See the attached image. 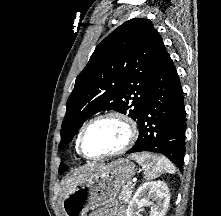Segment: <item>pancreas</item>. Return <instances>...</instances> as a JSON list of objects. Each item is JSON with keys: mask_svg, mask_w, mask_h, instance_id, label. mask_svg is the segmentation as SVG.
I'll return each mask as SVG.
<instances>
[{"mask_svg": "<svg viewBox=\"0 0 221 216\" xmlns=\"http://www.w3.org/2000/svg\"><path fill=\"white\" fill-rule=\"evenodd\" d=\"M133 188L134 186L129 183L125 187H123L120 195L118 196L119 200L123 201L124 203L130 202L133 193Z\"/></svg>", "mask_w": 221, "mask_h": 216, "instance_id": "pancreas-1", "label": "pancreas"}]
</instances>
